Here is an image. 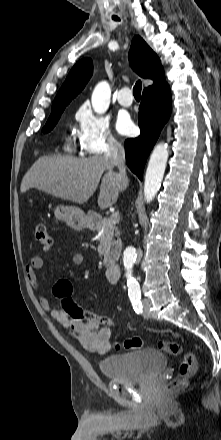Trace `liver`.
Masks as SVG:
<instances>
[{"label": "liver", "mask_w": 221, "mask_h": 440, "mask_svg": "<svg viewBox=\"0 0 221 440\" xmlns=\"http://www.w3.org/2000/svg\"><path fill=\"white\" fill-rule=\"evenodd\" d=\"M113 167L101 156L82 159L40 157L23 177L21 192L36 188L83 204L95 193L101 181L98 205L105 209L116 203L119 193L128 184V180L121 179Z\"/></svg>", "instance_id": "1"}]
</instances>
